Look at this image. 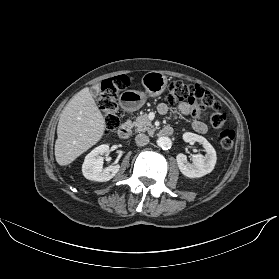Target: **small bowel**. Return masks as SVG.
<instances>
[{
  "instance_id": "1",
  "label": "small bowel",
  "mask_w": 279,
  "mask_h": 279,
  "mask_svg": "<svg viewBox=\"0 0 279 279\" xmlns=\"http://www.w3.org/2000/svg\"><path fill=\"white\" fill-rule=\"evenodd\" d=\"M157 110L160 114L164 115L168 112L169 108L165 103H161L158 105ZM176 112L177 114L181 115H189L193 114V108L188 103L183 102L177 106ZM191 126L193 130H195L198 133H206L208 130L206 124L199 120H194Z\"/></svg>"
}]
</instances>
